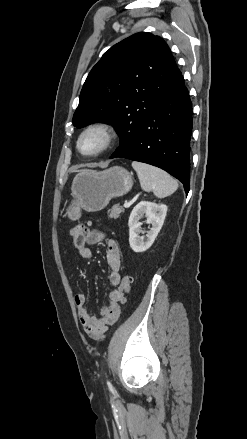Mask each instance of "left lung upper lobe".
<instances>
[{"instance_id": "obj_1", "label": "left lung upper lobe", "mask_w": 247, "mask_h": 439, "mask_svg": "<svg viewBox=\"0 0 247 439\" xmlns=\"http://www.w3.org/2000/svg\"><path fill=\"white\" fill-rule=\"evenodd\" d=\"M181 78L166 42L150 33H136L112 46L92 68L73 125L111 124L121 137L119 148H126L160 96Z\"/></svg>"}]
</instances>
